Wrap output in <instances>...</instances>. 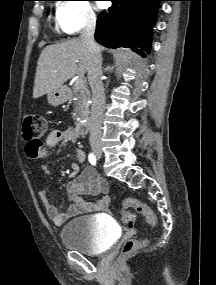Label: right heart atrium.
Masks as SVG:
<instances>
[{"instance_id":"d8ad5b80","label":"right heart atrium","mask_w":216,"mask_h":285,"mask_svg":"<svg viewBox=\"0 0 216 285\" xmlns=\"http://www.w3.org/2000/svg\"><path fill=\"white\" fill-rule=\"evenodd\" d=\"M97 16L88 0H64L57 5L56 22L66 34L73 35L95 25Z\"/></svg>"}]
</instances>
